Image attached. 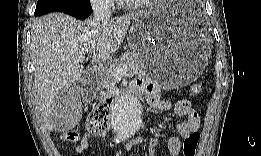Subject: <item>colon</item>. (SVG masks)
Here are the masks:
<instances>
[{"label": "colon", "mask_w": 261, "mask_h": 156, "mask_svg": "<svg viewBox=\"0 0 261 156\" xmlns=\"http://www.w3.org/2000/svg\"><path fill=\"white\" fill-rule=\"evenodd\" d=\"M203 89L202 82H195L191 85L190 92L193 96H198ZM109 106L99 105L95 107L88 116L87 129L95 136L105 134L109 129ZM63 142L76 143L79 140V134L76 130H66L60 134ZM200 140V134L195 132L184 140L183 156H196L197 147Z\"/></svg>", "instance_id": "colon-1"}]
</instances>
